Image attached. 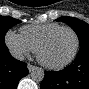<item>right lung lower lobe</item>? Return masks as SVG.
I'll return each instance as SVG.
<instances>
[{"label":"right lung lower lobe","mask_w":89,"mask_h":89,"mask_svg":"<svg viewBox=\"0 0 89 89\" xmlns=\"http://www.w3.org/2000/svg\"><path fill=\"white\" fill-rule=\"evenodd\" d=\"M27 74V64L13 58L5 45L1 46L0 89H16L19 80Z\"/></svg>","instance_id":"1"}]
</instances>
